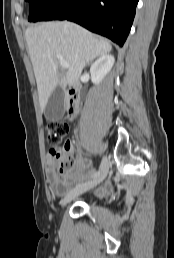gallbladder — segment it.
I'll return each mask as SVG.
<instances>
[{
  "instance_id": "bac80fb5",
  "label": "gallbladder",
  "mask_w": 174,
  "mask_h": 258,
  "mask_svg": "<svg viewBox=\"0 0 174 258\" xmlns=\"http://www.w3.org/2000/svg\"><path fill=\"white\" fill-rule=\"evenodd\" d=\"M65 113L64 91L58 85L48 99L44 109L45 118L48 121H57L62 119Z\"/></svg>"
}]
</instances>
